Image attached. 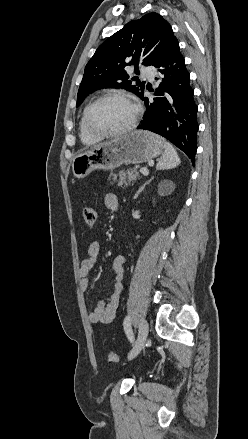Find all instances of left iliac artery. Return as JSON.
I'll list each match as a JSON object with an SVG mask.
<instances>
[{"instance_id":"1","label":"left iliac artery","mask_w":248,"mask_h":439,"mask_svg":"<svg viewBox=\"0 0 248 439\" xmlns=\"http://www.w3.org/2000/svg\"><path fill=\"white\" fill-rule=\"evenodd\" d=\"M123 326H124V331H125L128 339L132 342L134 339V336H133V332L131 329V317L130 316H126V318L124 319V322H123Z\"/></svg>"}]
</instances>
